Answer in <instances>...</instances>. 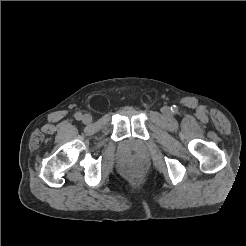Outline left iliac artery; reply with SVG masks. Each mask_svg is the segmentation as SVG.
I'll use <instances>...</instances> for the list:
<instances>
[{
	"mask_svg": "<svg viewBox=\"0 0 246 246\" xmlns=\"http://www.w3.org/2000/svg\"><path fill=\"white\" fill-rule=\"evenodd\" d=\"M171 110H172L173 113H177L178 108H177V106L174 105V106L171 108Z\"/></svg>",
	"mask_w": 246,
	"mask_h": 246,
	"instance_id": "left-iliac-artery-1",
	"label": "left iliac artery"
}]
</instances>
